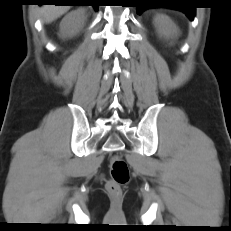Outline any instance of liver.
I'll list each match as a JSON object with an SVG mask.
<instances>
[{
    "instance_id": "1",
    "label": "liver",
    "mask_w": 231,
    "mask_h": 231,
    "mask_svg": "<svg viewBox=\"0 0 231 231\" xmlns=\"http://www.w3.org/2000/svg\"><path fill=\"white\" fill-rule=\"evenodd\" d=\"M70 9V6L67 5H44L42 6L39 11L46 23H51L57 18L61 17Z\"/></svg>"
}]
</instances>
